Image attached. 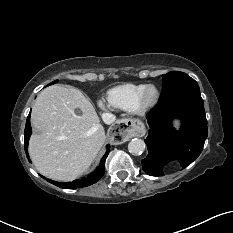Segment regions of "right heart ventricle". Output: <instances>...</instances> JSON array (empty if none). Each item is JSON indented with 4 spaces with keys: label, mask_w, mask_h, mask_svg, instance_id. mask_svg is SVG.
<instances>
[{
    "label": "right heart ventricle",
    "mask_w": 233,
    "mask_h": 233,
    "mask_svg": "<svg viewBox=\"0 0 233 233\" xmlns=\"http://www.w3.org/2000/svg\"><path fill=\"white\" fill-rule=\"evenodd\" d=\"M146 84L125 83L109 89L106 100L109 106L126 111H133L136 100Z\"/></svg>",
    "instance_id": "e07e8e85"
}]
</instances>
